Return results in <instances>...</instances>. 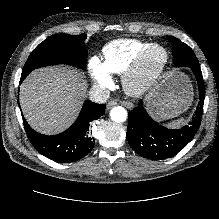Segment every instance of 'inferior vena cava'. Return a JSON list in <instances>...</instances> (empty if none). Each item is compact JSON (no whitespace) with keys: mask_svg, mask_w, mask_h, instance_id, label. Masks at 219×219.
Returning <instances> with one entry per match:
<instances>
[{"mask_svg":"<svg viewBox=\"0 0 219 219\" xmlns=\"http://www.w3.org/2000/svg\"><path fill=\"white\" fill-rule=\"evenodd\" d=\"M109 96L110 92L99 86H93L89 91V98L95 103H104Z\"/></svg>","mask_w":219,"mask_h":219,"instance_id":"obj_1","label":"inferior vena cava"}]
</instances>
